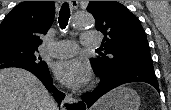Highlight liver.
Masks as SVG:
<instances>
[{"instance_id":"1","label":"liver","mask_w":171,"mask_h":110,"mask_svg":"<svg viewBox=\"0 0 171 110\" xmlns=\"http://www.w3.org/2000/svg\"><path fill=\"white\" fill-rule=\"evenodd\" d=\"M99 100L94 106L98 110ZM0 110H58L44 85L20 68L0 70Z\"/></svg>"}]
</instances>
